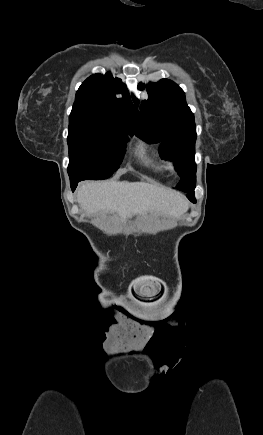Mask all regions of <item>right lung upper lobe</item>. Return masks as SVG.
I'll list each match as a JSON object with an SVG mask.
<instances>
[{"instance_id":"right-lung-upper-lobe-1","label":"right lung upper lobe","mask_w":263,"mask_h":435,"mask_svg":"<svg viewBox=\"0 0 263 435\" xmlns=\"http://www.w3.org/2000/svg\"><path fill=\"white\" fill-rule=\"evenodd\" d=\"M115 93H123L121 99ZM138 111L119 78L94 74L87 78L76 92L75 102L69 118L81 117L114 128L134 131Z\"/></svg>"}]
</instances>
